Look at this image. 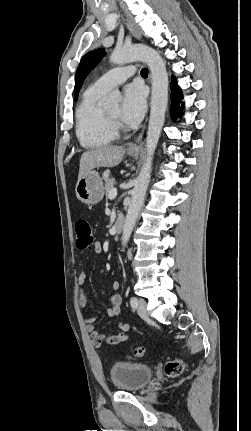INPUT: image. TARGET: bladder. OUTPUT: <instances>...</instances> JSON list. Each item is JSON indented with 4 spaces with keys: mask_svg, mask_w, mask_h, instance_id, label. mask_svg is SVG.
I'll return each mask as SVG.
<instances>
[{
    "mask_svg": "<svg viewBox=\"0 0 251 431\" xmlns=\"http://www.w3.org/2000/svg\"><path fill=\"white\" fill-rule=\"evenodd\" d=\"M152 368L142 363L117 362L110 368V379L114 387L122 391H137L152 379Z\"/></svg>",
    "mask_w": 251,
    "mask_h": 431,
    "instance_id": "1",
    "label": "bladder"
}]
</instances>
